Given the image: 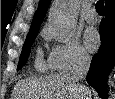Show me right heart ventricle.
I'll use <instances>...</instances> for the list:
<instances>
[{
    "instance_id": "obj_1",
    "label": "right heart ventricle",
    "mask_w": 115,
    "mask_h": 99,
    "mask_svg": "<svg viewBox=\"0 0 115 99\" xmlns=\"http://www.w3.org/2000/svg\"><path fill=\"white\" fill-rule=\"evenodd\" d=\"M49 66L48 63H46L43 59L42 53L38 52L36 60H35V67L39 70V71H46L47 67Z\"/></svg>"
}]
</instances>
